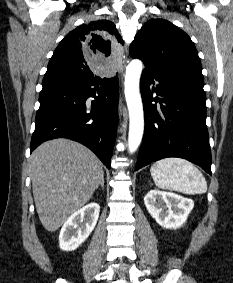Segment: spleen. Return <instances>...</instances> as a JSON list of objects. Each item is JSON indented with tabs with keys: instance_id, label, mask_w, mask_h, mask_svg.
Segmentation results:
<instances>
[{
	"instance_id": "spleen-1",
	"label": "spleen",
	"mask_w": 233,
	"mask_h": 283,
	"mask_svg": "<svg viewBox=\"0 0 233 283\" xmlns=\"http://www.w3.org/2000/svg\"><path fill=\"white\" fill-rule=\"evenodd\" d=\"M150 172L158 188L184 194H204L207 182L202 173L190 162L180 158H165L155 162Z\"/></svg>"
}]
</instances>
